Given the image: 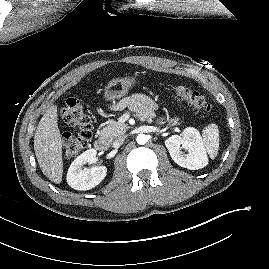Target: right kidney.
Wrapping results in <instances>:
<instances>
[{"label":"right kidney","instance_id":"ca27d5eb","mask_svg":"<svg viewBox=\"0 0 269 269\" xmlns=\"http://www.w3.org/2000/svg\"><path fill=\"white\" fill-rule=\"evenodd\" d=\"M97 151L89 149L79 155L70 165L67 173V183L75 190H90L100 184L105 178L107 168L105 166H94L90 169H82L85 164L95 163Z\"/></svg>","mask_w":269,"mask_h":269}]
</instances>
